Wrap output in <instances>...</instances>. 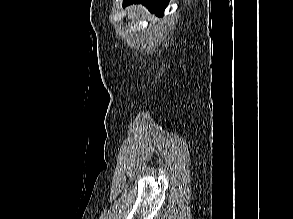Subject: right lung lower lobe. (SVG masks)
<instances>
[{"instance_id":"obj_1","label":"right lung lower lobe","mask_w":293,"mask_h":219,"mask_svg":"<svg viewBox=\"0 0 293 219\" xmlns=\"http://www.w3.org/2000/svg\"><path fill=\"white\" fill-rule=\"evenodd\" d=\"M169 0H124L123 6L133 3H141L147 6L148 10L156 15L163 16Z\"/></svg>"}]
</instances>
